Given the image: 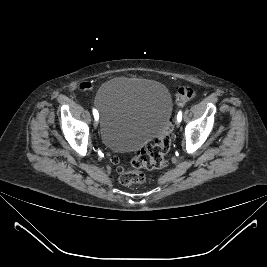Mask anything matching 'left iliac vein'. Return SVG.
<instances>
[{
  "label": "left iliac vein",
  "instance_id": "1",
  "mask_svg": "<svg viewBox=\"0 0 267 267\" xmlns=\"http://www.w3.org/2000/svg\"><path fill=\"white\" fill-rule=\"evenodd\" d=\"M176 126L179 127L180 126V122L177 120L176 121Z\"/></svg>",
  "mask_w": 267,
  "mask_h": 267
}]
</instances>
